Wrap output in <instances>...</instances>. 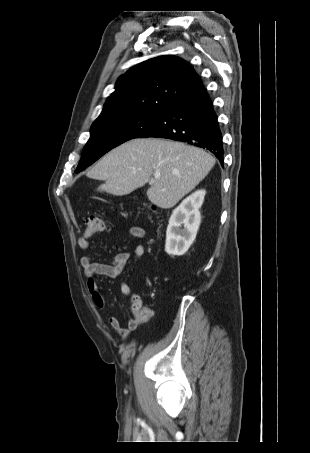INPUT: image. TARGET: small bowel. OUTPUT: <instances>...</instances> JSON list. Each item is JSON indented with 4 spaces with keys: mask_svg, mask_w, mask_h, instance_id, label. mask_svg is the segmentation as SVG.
I'll return each mask as SVG.
<instances>
[{
    "mask_svg": "<svg viewBox=\"0 0 310 453\" xmlns=\"http://www.w3.org/2000/svg\"><path fill=\"white\" fill-rule=\"evenodd\" d=\"M129 235L135 239H143L145 238L146 233L143 228L139 226H132L129 228ZM89 237L90 236L84 234L83 236L78 238L77 244L79 248L86 250L90 247ZM145 252V246H137L134 252V258L136 260L140 259L145 254ZM129 260L130 253L128 252H120L116 254L110 263L97 262L89 256H84L81 258V266L86 278L87 291L91 301L97 308L104 309L106 307V302L98 289L95 275L105 276L108 278H116L123 273ZM120 291L124 296L131 297L132 317L127 321L126 326L122 325L120 320L115 316H111L109 318V323L115 330V332L122 338V340H125L129 336L131 331L136 330L149 318L150 310L146 308L149 312L148 316H139L138 312L145 307H143L140 297L132 294L131 287L127 281L123 280L120 283Z\"/></svg>",
    "mask_w": 310,
    "mask_h": 453,
    "instance_id": "c3829d8e",
    "label": "small bowel"
}]
</instances>
